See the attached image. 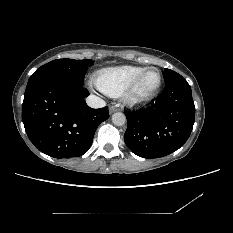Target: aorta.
Returning <instances> with one entry per match:
<instances>
[{
  "mask_svg": "<svg viewBox=\"0 0 233 233\" xmlns=\"http://www.w3.org/2000/svg\"><path fill=\"white\" fill-rule=\"evenodd\" d=\"M112 122L116 126H122L126 122V116L121 112H116L112 115Z\"/></svg>",
  "mask_w": 233,
  "mask_h": 233,
  "instance_id": "aorta-1",
  "label": "aorta"
}]
</instances>
